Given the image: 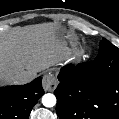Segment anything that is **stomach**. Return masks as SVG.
I'll return each instance as SVG.
<instances>
[{
    "label": "stomach",
    "mask_w": 119,
    "mask_h": 119,
    "mask_svg": "<svg viewBox=\"0 0 119 119\" xmlns=\"http://www.w3.org/2000/svg\"><path fill=\"white\" fill-rule=\"evenodd\" d=\"M66 32H67L66 27L63 25H60L59 34H60L61 39H63L65 37Z\"/></svg>",
    "instance_id": "obj_1"
}]
</instances>
